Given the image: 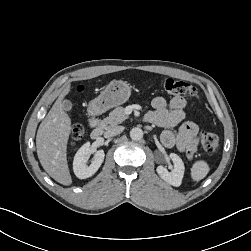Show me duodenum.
<instances>
[{"mask_svg": "<svg viewBox=\"0 0 251 251\" xmlns=\"http://www.w3.org/2000/svg\"><path fill=\"white\" fill-rule=\"evenodd\" d=\"M89 125L91 127V132H90L91 138L92 139L100 138L102 136V134H103V127L98 122L95 112H92L91 118L89 120Z\"/></svg>", "mask_w": 251, "mask_h": 251, "instance_id": "1", "label": "duodenum"}]
</instances>
